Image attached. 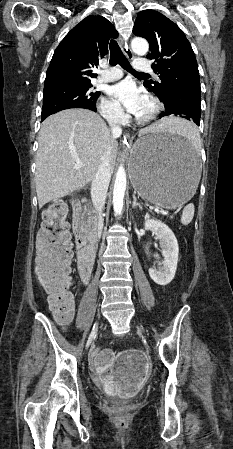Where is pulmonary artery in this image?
<instances>
[{"instance_id": "obj_1", "label": "pulmonary artery", "mask_w": 233, "mask_h": 449, "mask_svg": "<svg viewBox=\"0 0 233 449\" xmlns=\"http://www.w3.org/2000/svg\"><path fill=\"white\" fill-rule=\"evenodd\" d=\"M134 69L138 71H151L150 65L147 61L138 58L133 63ZM123 76V72L118 67H111L105 70L99 77L100 82H113L120 79Z\"/></svg>"}]
</instances>
